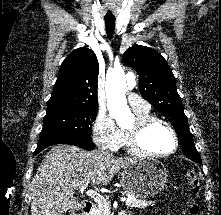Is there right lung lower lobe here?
Wrapping results in <instances>:
<instances>
[{
	"label": "right lung lower lobe",
	"instance_id": "right-lung-lower-lobe-1",
	"mask_svg": "<svg viewBox=\"0 0 221 215\" xmlns=\"http://www.w3.org/2000/svg\"><path fill=\"white\" fill-rule=\"evenodd\" d=\"M55 144L75 145L86 150H92L94 148V144L90 136H80V137H75V138L58 139V140L48 141V142H39L34 152V155H37L46 147L55 145Z\"/></svg>",
	"mask_w": 221,
	"mask_h": 215
}]
</instances>
